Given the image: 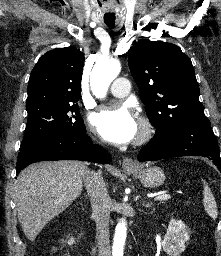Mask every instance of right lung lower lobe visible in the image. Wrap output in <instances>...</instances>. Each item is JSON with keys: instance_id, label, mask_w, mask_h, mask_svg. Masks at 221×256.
<instances>
[{"instance_id": "right-lung-lower-lobe-1", "label": "right lung lower lobe", "mask_w": 221, "mask_h": 256, "mask_svg": "<svg viewBox=\"0 0 221 256\" xmlns=\"http://www.w3.org/2000/svg\"><path fill=\"white\" fill-rule=\"evenodd\" d=\"M68 159L107 164L111 156L101 146L93 145L86 130H64L42 135L21 145L17 173L31 163Z\"/></svg>"}]
</instances>
